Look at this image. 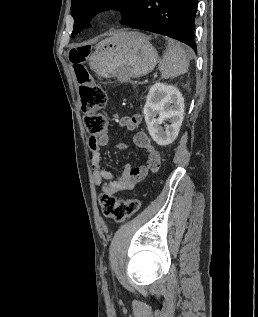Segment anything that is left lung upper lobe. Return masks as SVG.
Returning <instances> with one entry per match:
<instances>
[{
  "label": "left lung upper lobe",
  "mask_w": 258,
  "mask_h": 317,
  "mask_svg": "<svg viewBox=\"0 0 258 317\" xmlns=\"http://www.w3.org/2000/svg\"><path fill=\"white\" fill-rule=\"evenodd\" d=\"M141 0H72L71 13L74 18V29L72 36H75L83 28L90 26L88 22L99 11L114 8L122 12V23L127 25L137 10Z\"/></svg>",
  "instance_id": "1"
}]
</instances>
